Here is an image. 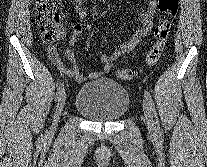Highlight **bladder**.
Returning <instances> with one entry per match:
<instances>
[{"mask_svg":"<svg viewBox=\"0 0 207 167\" xmlns=\"http://www.w3.org/2000/svg\"><path fill=\"white\" fill-rule=\"evenodd\" d=\"M130 97L124 86L99 79L84 84L75 99V108L93 121L107 122L122 118L129 109Z\"/></svg>","mask_w":207,"mask_h":167,"instance_id":"31cf9c89","label":"bladder"}]
</instances>
